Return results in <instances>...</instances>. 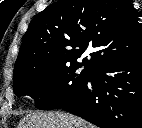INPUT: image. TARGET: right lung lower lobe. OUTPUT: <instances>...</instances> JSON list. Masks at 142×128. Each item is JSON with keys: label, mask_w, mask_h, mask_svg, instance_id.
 <instances>
[{"label": "right lung lower lobe", "mask_w": 142, "mask_h": 128, "mask_svg": "<svg viewBox=\"0 0 142 128\" xmlns=\"http://www.w3.org/2000/svg\"><path fill=\"white\" fill-rule=\"evenodd\" d=\"M61 109L100 128H142V49L92 69L81 92Z\"/></svg>", "instance_id": "98d812e1"}]
</instances>
